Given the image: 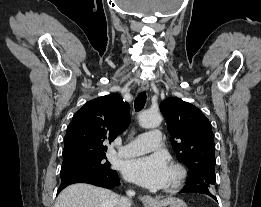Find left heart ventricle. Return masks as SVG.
Instances as JSON below:
<instances>
[{
    "instance_id": "b2bd125f",
    "label": "left heart ventricle",
    "mask_w": 261,
    "mask_h": 207,
    "mask_svg": "<svg viewBox=\"0 0 261 207\" xmlns=\"http://www.w3.org/2000/svg\"><path fill=\"white\" fill-rule=\"evenodd\" d=\"M173 178H174V173L169 168L168 172H167V176H166V180H165V185L164 186L169 184L173 180Z\"/></svg>"
}]
</instances>
